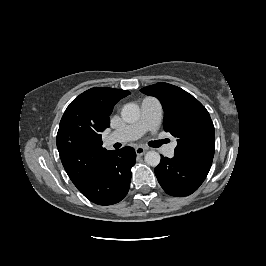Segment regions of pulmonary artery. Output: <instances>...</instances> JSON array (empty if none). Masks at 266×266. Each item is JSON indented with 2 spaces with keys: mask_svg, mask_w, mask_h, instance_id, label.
<instances>
[{
  "mask_svg": "<svg viewBox=\"0 0 266 266\" xmlns=\"http://www.w3.org/2000/svg\"><path fill=\"white\" fill-rule=\"evenodd\" d=\"M162 118V106L160 102L153 97H146L141 103V117L133 123L122 129L112 131L108 136V143L128 142L138 139L148 130H156L160 125ZM176 142H171L163 148V153L167 157L174 154Z\"/></svg>",
  "mask_w": 266,
  "mask_h": 266,
  "instance_id": "1",
  "label": "pulmonary artery"
}]
</instances>
